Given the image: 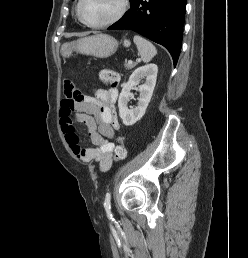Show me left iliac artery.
Instances as JSON below:
<instances>
[{
    "instance_id": "44dca946",
    "label": "left iliac artery",
    "mask_w": 248,
    "mask_h": 258,
    "mask_svg": "<svg viewBox=\"0 0 248 258\" xmlns=\"http://www.w3.org/2000/svg\"><path fill=\"white\" fill-rule=\"evenodd\" d=\"M110 200H111V194H110V192H108L106 194L105 202H104V207H105V210L107 213H110V209H111Z\"/></svg>"
}]
</instances>
